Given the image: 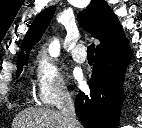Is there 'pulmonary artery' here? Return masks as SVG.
<instances>
[{
    "label": "pulmonary artery",
    "instance_id": "e3ab8cb5",
    "mask_svg": "<svg viewBox=\"0 0 142 128\" xmlns=\"http://www.w3.org/2000/svg\"><path fill=\"white\" fill-rule=\"evenodd\" d=\"M73 59L78 63L86 61V49L82 44L75 46L71 52Z\"/></svg>",
    "mask_w": 142,
    "mask_h": 128
}]
</instances>
